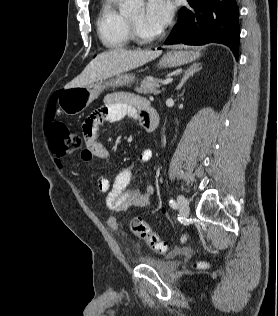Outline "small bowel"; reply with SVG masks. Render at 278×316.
<instances>
[{
  "label": "small bowel",
  "instance_id": "small-bowel-1",
  "mask_svg": "<svg viewBox=\"0 0 278 316\" xmlns=\"http://www.w3.org/2000/svg\"><path fill=\"white\" fill-rule=\"evenodd\" d=\"M149 107L146 99L125 92L108 94L104 104L90 115L82 125L85 148L81 152L82 160L91 162L95 159H108L110 151L97 139L98 129L104 122H116L125 117L140 118ZM153 156L152 150L144 149L139 157L140 163H147ZM99 190L106 194V205L112 211L107 220V225L112 231L119 230L116 214L126 211L131 207H144L150 203L154 192L152 185H147L143 191L131 186V170L123 169L116 177L113 184L103 177L97 179ZM165 215V213H164Z\"/></svg>",
  "mask_w": 278,
  "mask_h": 316
}]
</instances>
